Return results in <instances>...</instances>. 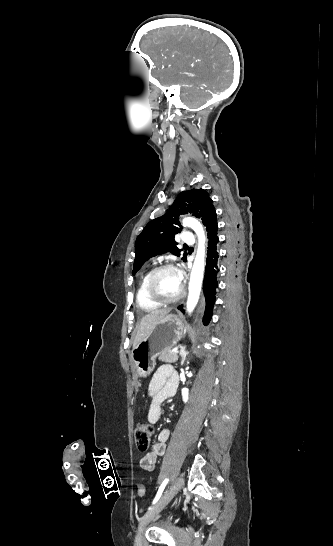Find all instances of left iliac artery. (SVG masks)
<instances>
[{
	"label": "left iliac artery",
	"instance_id": "obj_1",
	"mask_svg": "<svg viewBox=\"0 0 333 546\" xmlns=\"http://www.w3.org/2000/svg\"><path fill=\"white\" fill-rule=\"evenodd\" d=\"M168 481H169V479L166 478V479L162 482V484H161V486L159 487L158 492H157V494H156V496H155V498H154L152 504H155V503L160 499V497H161V495H162V493H163V491H164V488H165V486L167 485Z\"/></svg>",
	"mask_w": 333,
	"mask_h": 546
}]
</instances>
